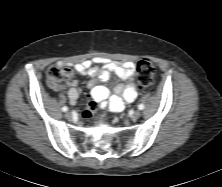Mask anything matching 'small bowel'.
I'll return each mask as SVG.
<instances>
[{
    "instance_id": "1",
    "label": "small bowel",
    "mask_w": 222,
    "mask_h": 187,
    "mask_svg": "<svg viewBox=\"0 0 222 187\" xmlns=\"http://www.w3.org/2000/svg\"><path fill=\"white\" fill-rule=\"evenodd\" d=\"M58 65L64 69L66 76L69 78H72L75 73L89 75L91 79L88 82V88L91 91L92 97L96 98L103 107L107 106L111 111L119 112L137 98V90L133 83L135 72L133 62H120L103 57H95L78 63L72 68L64 62H59ZM111 73L116 74L122 80L113 90L98 84V82L107 81ZM66 84L68 86V99L74 105L80 95L78 82L77 80H69ZM48 85L54 90L61 88L58 83L50 79L48 80Z\"/></svg>"
}]
</instances>
